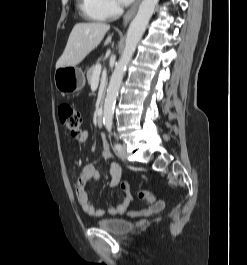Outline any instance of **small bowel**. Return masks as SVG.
Returning <instances> with one entry per match:
<instances>
[{
  "label": "small bowel",
  "instance_id": "obj_1",
  "mask_svg": "<svg viewBox=\"0 0 247 265\" xmlns=\"http://www.w3.org/2000/svg\"><path fill=\"white\" fill-rule=\"evenodd\" d=\"M88 138L87 132H84L79 138L80 142H85ZM113 154L109 148L108 143L105 139H103V149L98 159H112ZM95 163L86 164L82 167L81 172L75 182V194L78 200L80 207L89 215L92 216H102L105 211L99 208H96L89 197L88 193V185L91 182L98 180L99 172L96 169ZM121 167L116 162H111L109 164V178H108V186L115 187L120 183L121 180ZM132 199L129 196L124 197V199L116 206H110L107 209V212L111 215L117 214H125L129 211L131 206ZM163 208V202L157 201L155 204L150 206L148 209H144L141 211H131L128 214L131 217H139V216H148L153 213H157L161 211Z\"/></svg>",
  "mask_w": 247,
  "mask_h": 265
}]
</instances>
